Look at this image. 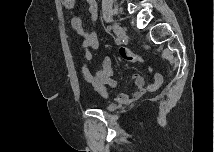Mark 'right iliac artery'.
I'll list each match as a JSON object with an SVG mask.
<instances>
[{"label": "right iliac artery", "mask_w": 215, "mask_h": 152, "mask_svg": "<svg viewBox=\"0 0 215 152\" xmlns=\"http://www.w3.org/2000/svg\"><path fill=\"white\" fill-rule=\"evenodd\" d=\"M116 43L119 44L120 40L118 38L115 39Z\"/></svg>", "instance_id": "right-iliac-artery-1"}]
</instances>
